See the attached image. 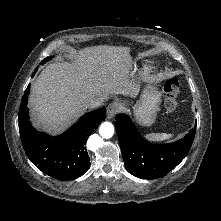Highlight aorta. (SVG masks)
<instances>
[{
  "mask_svg": "<svg viewBox=\"0 0 221 221\" xmlns=\"http://www.w3.org/2000/svg\"><path fill=\"white\" fill-rule=\"evenodd\" d=\"M99 134L105 139H109L114 134V126L110 122H104L100 125Z\"/></svg>",
  "mask_w": 221,
  "mask_h": 221,
  "instance_id": "762f6f07",
  "label": "aorta"
}]
</instances>
